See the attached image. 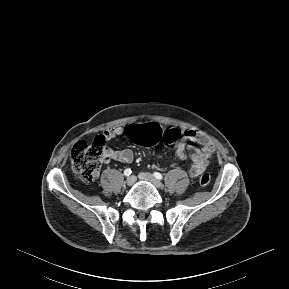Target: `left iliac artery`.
Returning a JSON list of instances; mask_svg holds the SVG:
<instances>
[{
    "label": "left iliac artery",
    "mask_w": 289,
    "mask_h": 289,
    "mask_svg": "<svg viewBox=\"0 0 289 289\" xmlns=\"http://www.w3.org/2000/svg\"><path fill=\"white\" fill-rule=\"evenodd\" d=\"M154 177L158 180H162L163 176L159 172H154Z\"/></svg>",
    "instance_id": "obj_1"
}]
</instances>
